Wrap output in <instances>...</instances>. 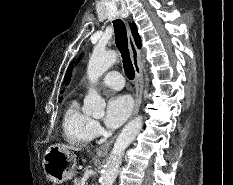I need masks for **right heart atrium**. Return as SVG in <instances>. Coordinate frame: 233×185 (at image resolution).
<instances>
[{
    "mask_svg": "<svg viewBox=\"0 0 233 185\" xmlns=\"http://www.w3.org/2000/svg\"><path fill=\"white\" fill-rule=\"evenodd\" d=\"M90 133H91L92 138H96L101 135L102 127L98 121L96 120L91 121Z\"/></svg>",
    "mask_w": 233,
    "mask_h": 185,
    "instance_id": "right-heart-atrium-1",
    "label": "right heart atrium"
}]
</instances>
